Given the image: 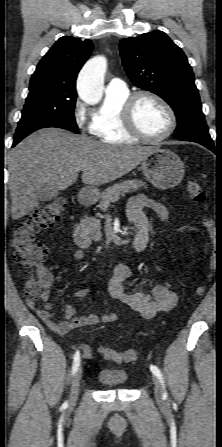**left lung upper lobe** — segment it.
Here are the masks:
<instances>
[{
  "mask_svg": "<svg viewBox=\"0 0 222 447\" xmlns=\"http://www.w3.org/2000/svg\"><path fill=\"white\" fill-rule=\"evenodd\" d=\"M120 53L132 83L163 98L174 110L179 140L213 143L201 109L194 74L181 48L155 30L120 41Z\"/></svg>",
  "mask_w": 222,
  "mask_h": 447,
  "instance_id": "1",
  "label": "left lung upper lobe"
}]
</instances>
